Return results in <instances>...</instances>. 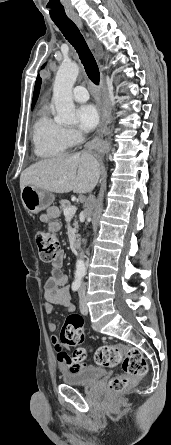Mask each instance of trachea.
Here are the masks:
<instances>
[{"instance_id": "1", "label": "trachea", "mask_w": 171, "mask_h": 445, "mask_svg": "<svg viewBox=\"0 0 171 445\" xmlns=\"http://www.w3.org/2000/svg\"><path fill=\"white\" fill-rule=\"evenodd\" d=\"M54 23L68 42L76 49L89 79L95 85H98L100 83L98 65L78 27L70 19L54 20Z\"/></svg>"}]
</instances>
